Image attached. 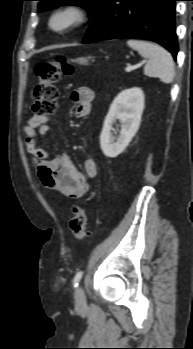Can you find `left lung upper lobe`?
<instances>
[{"label": "left lung upper lobe", "instance_id": "left-lung-upper-lobe-1", "mask_svg": "<svg viewBox=\"0 0 193 349\" xmlns=\"http://www.w3.org/2000/svg\"><path fill=\"white\" fill-rule=\"evenodd\" d=\"M39 1L38 11L52 9L63 4H76L88 9L93 18L99 15L106 0H37Z\"/></svg>", "mask_w": 193, "mask_h": 349}]
</instances>
